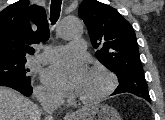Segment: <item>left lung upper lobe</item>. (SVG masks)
Wrapping results in <instances>:
<instances>
[{
	"instance_id": "5c2ea615",
	"label": "left lung upper lobe",
	"mask_w": 165,
	"mask_h": 120,
	"mask_svg": "<svg viewBox=\"0 0 165 120\" xmlns=\"http://www.w3.org/2000/svg\"><path fill=\"white\" fill-rule=\"evenodd\" d=\"M78 13L98 49L97 59L118 77L120 85L113 95L129 92L150 99L131 24L115 8L97 0H84Z\"/></svg>"
}]
</instances>
